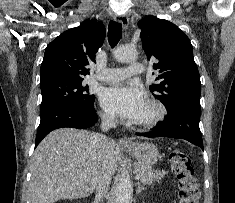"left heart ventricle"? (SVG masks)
<instances>
[{
    "label": "left heart ventricle",
    "mask_w": 235,
    "mask_h": 203,
    "mask_svg": "<svg viewBox=\"0 0 235 203\" xmlns=\"http://www.w3.org/2000/svg\"><path fill=\"white\" fill-rule=\"evenodd\" d=\"M151 114H152V110L146 106L144 111L142 112L141 116L139 117V119L136 122L149 118L151 116Z\"/></svg>",
    "instance_id": "obj_1"
}]
</instances>
